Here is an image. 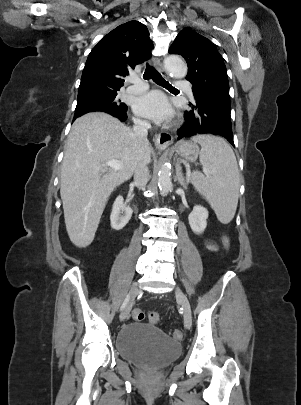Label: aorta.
Wrapping results in <instances>:
<instances>
[{"instance_id": "1", "label": "aorta", "mask_w": 301, "mask_h": 405, "mask_svg": "<svg viewBox=\"0 0 301 405\" xmlns=\"http://www.w3.org/2000/svg\"><path fill=\"white\" fill-rule=\"evenodd\" d=\"M165 69L175 78H184L187 74V66L179 56L172 55L164 60ZM158 187L162 194H167L172 188L171 168L163 163L158 172Z\"/></svg>"}]
</instances>
